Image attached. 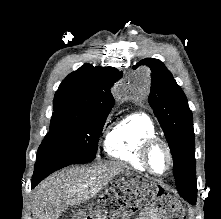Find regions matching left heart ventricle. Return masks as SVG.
Here are the masks:
<instances>
[{
    "label": "left heart ventricle",
    "instance_id": "obj_1",
    "mask_svg": "<svg viewBox=\"0 0 221 219\" xmlns=\"http://www.w3.org/2000/svg\"><path fill=\"white\" fill-rule=\"evenodd\" d=\"M150 163L157 173H164L168 167V157L161 146H156L150 153Z\"/></svg>",
    "mask_w": 221,
    "mask_h": 219
}]
</instances>
